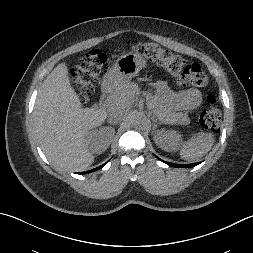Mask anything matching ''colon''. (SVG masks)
I'll use <instances>...</instances> for the list:
<instances>
[{
	"label": "colon",
	"instance_id": "5ec220e1",
	"mask_svg": "<svg viewBox=\"0 0 253 253\" xmlns=\"http://www.w3.org/2000/svg\"><path fill=\"white\" fill-rule=\"evenodd\" d=\"M132 50L162 66L175 77L179 85L202 87L208 82L205 72L198 63L187 62L155 43H138L132 46ZM106 64L107 56L99 49L89 50L78 59L72 71V83L82 103L88 102ZM205 101L206 109L201 112L199 123L202 128L215 131L221 123V113L216 106V97L213 93L207 92Z\"/></svg>",
	"mask_w": 253,
	"mask_h": 253
}]
</instances>
